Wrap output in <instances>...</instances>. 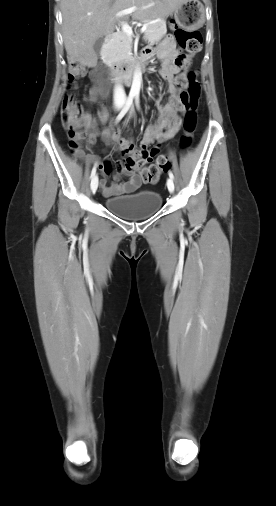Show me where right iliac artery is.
Segmentation results:
<instances>
[{"label":"right iliac artery","instance_id":"right-iliac-artery-1","mask_svg":"<svg viewBox=\"0 0 276 506\" xmlns=\"http://www.w3.org/2000/svg\"><path fill=\"white\" fill-rule=\"evenodd\" d=\"M133 98H134V94H129V97L126 101L125 106L123 107L121 112L116 117V122H119L124 117V115L127 113V111L129 110V108L133 102ZM95 174H96V165L93 167L92 172H91L92 179L95 177Z\"/></svg>","mask_w":276,"mask_h":506}]
</instances>
